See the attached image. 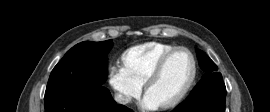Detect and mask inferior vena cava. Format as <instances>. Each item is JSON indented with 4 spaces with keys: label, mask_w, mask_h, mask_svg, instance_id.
<instances>
[{
    "label": "inferior vena cava",
    "mask_w": 270,
    "mask_h": 112,
    "mask_svg": "<svg viewBox=\"0 0 270 112\" xmlns=\"http://www.w3.org/2000/svg\"><path fill=\"white\" fill-rule=\"evenodd\" d=\"M114 100L119 104H127L130 102L131 99L127 96L120 94V93H116L114 95Z\"/></svg>",
    "instance_id": "obj_1"
}]
</instances>
